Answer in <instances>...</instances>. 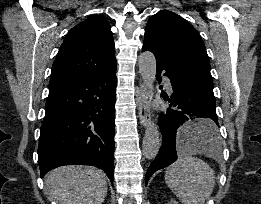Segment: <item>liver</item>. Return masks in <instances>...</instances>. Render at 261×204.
Instances as JSON below:
<instances>
[{
  "label": "liver",
  "instance_id": "1",
  "mask_svg": "<svg viewBox=\"0 0 261 204\" xmlns=\"http://www.w3.org/2000/svg\"><path fill=\"white\" fill-rule=\"evenodd\" d=\"M46 192L59 204H102L107 195L103 171L93 167L65 166L45 177Z\"/></svg>",
  "mask_w": 261,
  "mask_h": 204
}]
</instances>
